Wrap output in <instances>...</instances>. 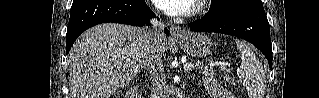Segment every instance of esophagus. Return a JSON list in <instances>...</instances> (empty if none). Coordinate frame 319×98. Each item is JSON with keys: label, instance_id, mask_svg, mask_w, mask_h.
Masks as SVG:
<instances>
[{"label": "esophagus", "instance_id": "esophagus-1", "mask_svg": "<svg viewBox=\"0 0 319 98\" xmlns=\"http://www.w3.org/2000/svg\"><path fill=\"white\" fill-rule=\"evenodd\" d=\"M170 33L172 38L175 40L183 39L185 36V31L180 26H177V25L171 26Z\"/></svg>", "mask_w": 319, "mask_h": 98}]
</instances>
